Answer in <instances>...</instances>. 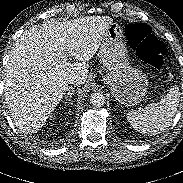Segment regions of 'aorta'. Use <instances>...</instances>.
<instances>
[{
  "instance_id": "aorta-1",
  "label": "aorta",
  "mask_w": 183,
  "mask_h": 183,
  "mask_svg": "<svg viewBox=\"0 0 183 183\" xmlns=\"http://www.w3.org/2000/svg\"><path fill=\"white\" fill-rule=\"evenodd\" d=\"M90 102L94 107H101L105 103V96L100 92L93 93Z\"/></svg>"
}]
</instances>
